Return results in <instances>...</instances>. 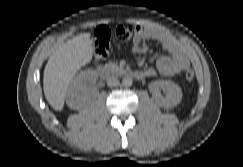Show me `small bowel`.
I'll return each instance as SVG.
<instances>
[{"mask_svg":"<svg viewBox=\"0 0 243 167\" xmlns=\"http://www.w3.org/2000/svg\"><path fill=\"white\" fill-rule=\"evenodd\" d=\"M148 41L158 42L168 55L160 57L155 67L145 69V76L153 77L156 74L174 76L189 67V56L183 46L164 31L148 26L137 27L133 39L132 53H144Z\"/></svg>","mask_w":243,"mask_h":167,"instance_id":"c3829d8e","label":"small bowel"}]
</instances>
